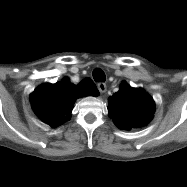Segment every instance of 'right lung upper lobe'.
I'll use <instances>...</instances> for the list:
<instances>
[{"instance_id": "obj_1", "label": "right lung upper lobe", "mask_w": 187, "mask_h": 187, "mask_svg": "<svg viewBox=\"0 0 187 187\" xmlns=\"http://www.w3.org/2000/svg\"><path fill=\"white\" fill-rule=\"evenodd\" d=\"M90 82V90L84 89L81 84L75 86L67 77L55 84L40 85L30 95L32 108L38 117L52 127L61 125L70 118L76 98L99 94L95 84Z\"/></svg>"}]
</instances>
